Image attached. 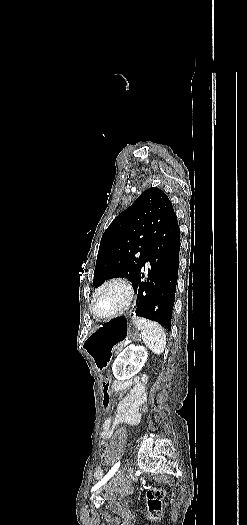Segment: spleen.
Returning a JSON list of instances; mask_svg holds the SVG:
<instances>
[{
    "instance_id": "1",
    "label": "spleen",
    "mask_w": 247,
    "mask_h": 525,
    "mask_svg": "<svg viewBox=\"0 0 247 525\" xmlns=\"http://www.w3.org/2000/svg\"><path fill=\"white\" fill-rule=\"evenodd\" d=\"M132 321L137 329H140L146 347L154 355H162L166 347V335L161 325L143 317H132Z\"/></svg>"
}]
</instances>
